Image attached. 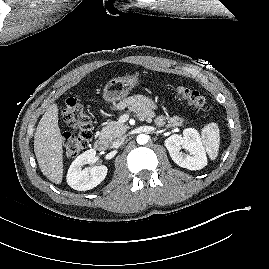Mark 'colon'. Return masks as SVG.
<instances>
[{
	"instance_id": "colon-1",
	"label": "colon",
	"mask_w": 269,
	"mask_h": 269,
	"mask_svg": "<svg viewBox=\"0 0 269 269\" xmlns=\"http://www.w3.org/2000/svg\"><path fill=\"white\" fill-rule=\"evenodd\" d=\"M177 94L194 108L205 113L211 111V106L198 91L178 87ZM61 116L72 130L64 136V152L67 158H75L87 147L92 137V120L83 104L75 97L66 99Z\"/></svg>"
}]
</instances>
